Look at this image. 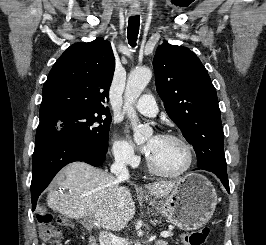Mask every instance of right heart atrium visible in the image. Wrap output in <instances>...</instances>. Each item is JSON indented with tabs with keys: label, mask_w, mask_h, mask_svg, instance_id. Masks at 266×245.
<instances>
[{
	"label": "right heart atrium",
	"mask_w": 266,
	"mask_h": 245,
	"mask_svg": "<svg viewBox=\"0 0 266 245\" xmlns=\"http://www.w3.org/2000/svg\"><path fill=\"white\" fill-rule=\"evenodd\" d=\"M111 153L113 158L122 164L136 166L139 163V157L132 145L122 138L116 136L112 138Z\"/></svg>",
	"instance_id": "d8ad5b80"
}]
</instances>
